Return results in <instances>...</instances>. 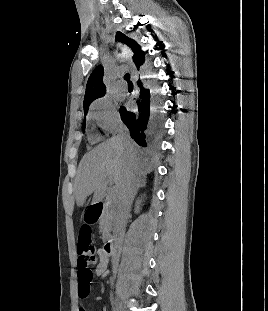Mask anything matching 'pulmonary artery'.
<instances>
[{
	"label": "pulmonary artery",
	"mask_w": 268,
	"mask_h": 311,
	"mask_svg": "<svg viewBox=\"0 0 268 311\" xmlns=\"http://www.w3.org/2000/svg\"><path fill=\"white\" fill-rule=\"evenodd\" d=\"M117 88L120 89V90H125L126 89V85L123 82L119 81L117 83Z\"/></svg>",
	"instance_id": "pulmonary-artery-1"
}]
</instances>
